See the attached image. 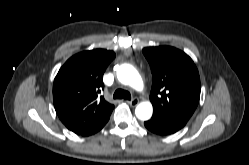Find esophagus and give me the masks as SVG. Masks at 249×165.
Segmentation results:
<instances>
[{"mask_svg":"<svg viewBox=\"0 0 249 165\" xmlns=\"http://www.w3.org/2000/svg\"><path fill=\"white\" fill-rule=\"evenodd\" d=\"M128 103L131 105V106H136L138 105L139 103V100L137 98H133L132 100L128 101Z\"/></svg>","mask_w":249,"mask_h":165,"instance_id":"obj_1","label":"esophagus"}]
</instances>
